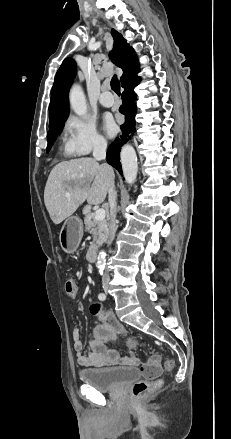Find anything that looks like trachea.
Listing matches in <instances>:
<instances>
[{"label":"trachea","instance_id":"3493384b","mask_svg":"<svg viewBox=\"0 0 231 439\" xmlns=\"http://www.w3.org/2000/svg\"><path fill=\"white\" fill-rule=\"evenodd\" d=\"M111 88L117 95H120V82L116 75H114L111 80Z\"/></svg>","mask_w":231,"mask_h":439}]
</instances>
